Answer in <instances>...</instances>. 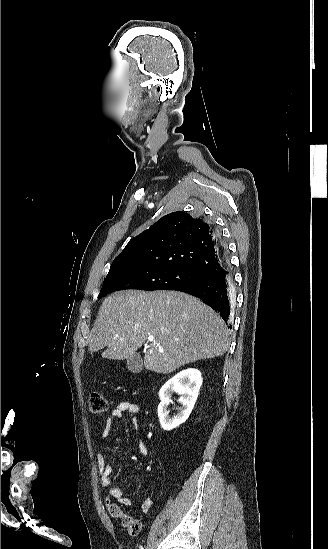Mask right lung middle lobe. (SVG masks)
Instances as JSON below:
<instances>
[{
  "instance_id": "right-lung-middle-lobe-1",
  "label": "right lung middle lobe",
  "mask_w": 328,
  "mask_h": 549,
  "mask_svg": "<svg viewBox=\"0 0 328 549\" xmlns=\"http://www.w3.org/2000/svg\"><path fill=\"white\" fill-rule=\"evenodd\" d=\"M202 274L180 267L129 264L108 273L99 298L116 290H175L204 278Z\"/></svg>"
}]
</instances>
